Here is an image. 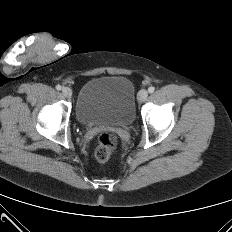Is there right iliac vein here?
<instances>
[{
    "label": "right iliac vein",
    "mask_w": 232,
    "mask_h": 232,
    "mask_svg": "<svg viewBox=\"0 0 232 232\" xmlns=\"http://www.w3.org/2000/svg\"><path fill=\"white\" fill-rule=\"evenodd\" d=\"M62 93L67 98L72 96V90L69 87L62 88Z\"/></svg>",
    "instance_id": "63e3f726"
}]
</instances>
